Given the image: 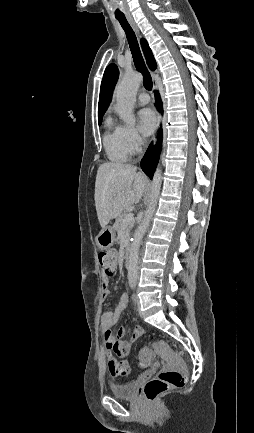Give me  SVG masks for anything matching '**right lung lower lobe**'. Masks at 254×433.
I'll use <instances>...</instances> for the list:
<instances>
[{"mask_svg": "<svg viewBox=\"0 0 254 433\" xmlns=\"http://www.w3.org/2000/svg\"><path fill=\"white\" fill-rule=\"evenodd\" d=\"M156 106L160 112H163L162 102L158 94H156ZM161 133L159 132V140L155 146L151 144L147 149L145 156L141 161V168L146 173V175L150 176L152 179L156 165L158 163L159 155L161 152Z\"/></svg>", "mask_w": 254, "mask_h": 433, "instance_id": "1", "label": "right lung lower lobe"}]
</instances>
